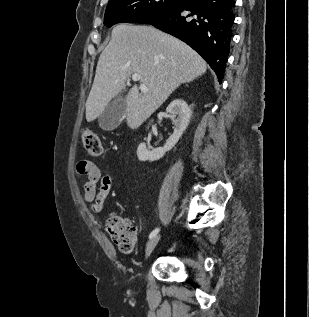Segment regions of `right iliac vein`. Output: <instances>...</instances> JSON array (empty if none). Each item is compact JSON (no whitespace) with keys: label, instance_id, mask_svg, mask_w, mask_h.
Masks as SVG:
<instances>
[{"label":"right iliac vein","instance_id":"1","mask_svg":"<svg viewBox=\"0 0 309 317\" xmlns=\"http://www.w3.org/2000/svg\"><path fill=\"white\" fill-rule=\"evenodd\" d=\"M159 240H160V235H156L152 239H150V241L147 243L146 249H145V259H147L150 256V254L152 253V251L158 244Z\"/></svg>","mask_w":309,"mask_h":317}]
</instances>
